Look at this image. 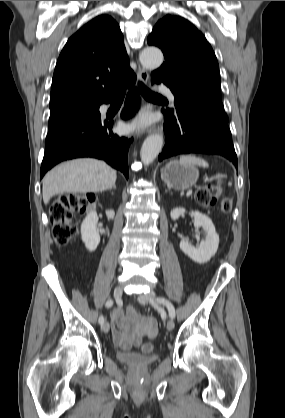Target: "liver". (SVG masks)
Here are the masks:
<instances>
[{
    "mask_svg": "<svg viewBox=\"0 0 285 418\" xmlns=\"http://www.w3.org/2000/svg\"><path fill=\"white\" fill-rule=\"evenodd\" d=\"M117 174L105 162L83 158L62 163L43 178V201L63 193L102 192L111 189Z\"/></svg>",
    "mask_w": 285,
    "mask_h": 418,
    "instance_id": "6515ba94",
    "label": "liver"
}]
</instances>
